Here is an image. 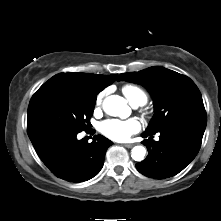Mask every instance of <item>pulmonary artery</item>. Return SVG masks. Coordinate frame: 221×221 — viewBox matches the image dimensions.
I'll return each mask as SVG.
<instances>
[{
    "label": "pulmonary artery",
    "instance_id": "obj_1",
    "mask_svg": "<svg viewBox=\"0 0 221 221\" xmlns=\"http://www.w3.org/2000/svg\"><path fill=\"white\" fill-rule=\"evenodd\" d=\"M134 107H137L138 105H133Z\"/></svg>",
    "mask_w": 221,
    "mask_h": 221
}]
</instances>
